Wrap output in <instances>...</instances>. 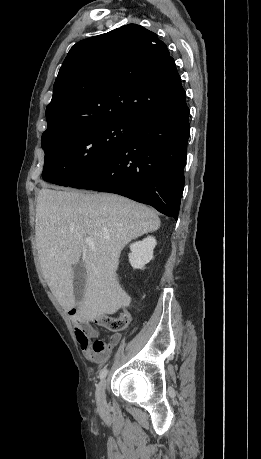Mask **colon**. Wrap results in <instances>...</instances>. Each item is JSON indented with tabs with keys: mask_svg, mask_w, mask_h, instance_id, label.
I'll return each instance as SVG.
<instances>
[{
	"mask_svg": "<svg viewBox=\"0 0 261 459\" xmlns=\"http://www.w3.org/2000/svg\"><path fill=\"white\" fill-rule=\"evenodd\" d=\"M102 323L109 331L118 332L125 328L127 319L123 314L119 316H104L102 318Z\"/></svg>",
	"mask_w": 261,
	"mask_h": 459,
	"instance_id": "colon-1",
	"label": "colon"
}]
</instances>
